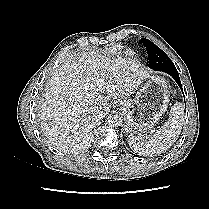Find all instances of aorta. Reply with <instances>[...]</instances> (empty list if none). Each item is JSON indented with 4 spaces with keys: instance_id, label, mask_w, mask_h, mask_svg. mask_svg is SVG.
<instances>
[{
    "instance_id": "aorta-1",
    "label": "aorta",
    "mask_w": 209,
    "mask_h": 209,
    "mask_svg": "<svg viewBox=\"0 0 209 209\" xmlns=\"http://www.w3.org/2000/svg\"><path fill=\"white\" fill-rule=\"evenodd\" d=\"M123 123V119L120 115L118 114H112L108 117V124L111 127H119Z\"/></svg>"
}]
</instances>
